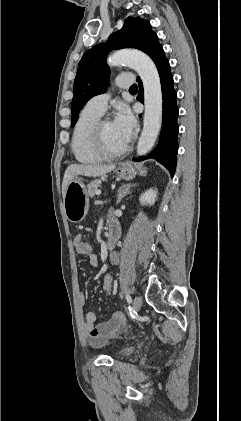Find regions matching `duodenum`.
Instances as JSON below:
<instances>
[{"mask_svg": "<svg viewBox=\"0 0 241 421\" xmlns=\"http://www.w3.org/2000/svg\"><path fill=\"white\" fill-rule=\"evenodd\" d=\"M120 234H121L120 226L115 220L111 219L109 222L108 236H107V246L109 248H113L115 246L116 242L120 238Z\"/></svg>", "mask_w": 241, "mask_h": 421, "instance_id": "410a0bca", "label": "duodenum"}]
</instances>
